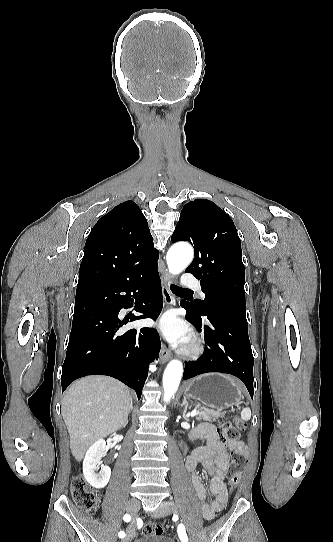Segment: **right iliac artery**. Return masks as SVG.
Masks as SVG:
<instances>
[{
    "label": "right iliac artery",
    "mask_w": 333,
    "mask_h": 542,
    "mask_svg": "<svg viewBox=\"0 0 333 542\" xmlns=\"http://www.w3.org/2000/svg\"><path fill=\"white\" fill-rule=\"evenodd\" d=\"M123 519H124V521L129 522V521L131 520V517H130V515L126 514V515H124ZM118 536H119L120 538H124V537H125V533H124L123 531H120L119 534H118Z\"/></svg>",
    "instance_id": "1"
}]
</instances>
